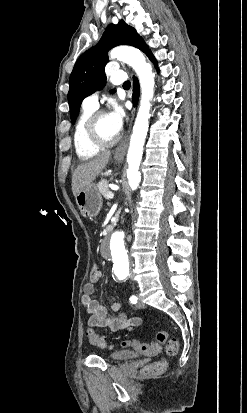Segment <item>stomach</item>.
Wrapping results in <instances>:
<instances>
[{"mask_svg": "<svg viewBox=\"0 0 247 413\" xmlns=\"http://www.w3.org/2000/svg\"><path fill=\"white\" fill-rule=\"evenodd\" d=\"M115 160H123V156H114ZM78 209L82 217H96L102 207V196L96 184H88L76 196Z\"/></svg>", "mask_w": 247, "mask_h": 413, "instance_id": "obj_1", "label": "stomach"}]
</instances>
